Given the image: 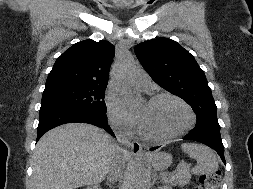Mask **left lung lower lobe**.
<instances>
[{
    "label": "left lung lower lobe",
    "instance_id": "0a47b994",
    "mask_svg": "<svg viewBox=\"0 0 253 189\" xmlns=\"http://www.w3.org/2000/svg\"><path fill=\"white\" fill-rule=\"evenodd\" d=\"M183 139L194 140L208 145L219 154L223 163L226 164L219 125H196V127L192 129ZM157 148L158 147L150 148V150H155Z\"/></svg>",
    "mask_w": 253,
    "mask_h": 189
}]
</instances>
